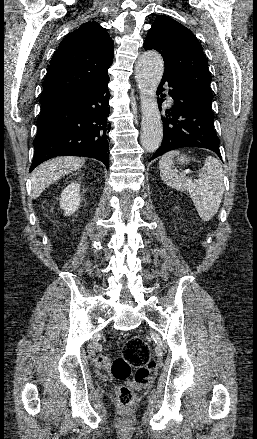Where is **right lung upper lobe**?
<instances>
[{
  "instance_id": "cb5924a9",
  "label": "right lung upper lobe",
  "mask_w": 257,
  "mask_h": 439,
  "mask_svg": "<svg viewBox=\"0 0 257 439\" xmlns=\"http://www.w3.org/2000/svg\"><path fill=\"white\" fill-rule=\"evenodd\" d=\"M113 44L107 30L95 21L70 33L50 61L40 103L107 77L113 61Z\"/></svg>"
}]
</instances>
